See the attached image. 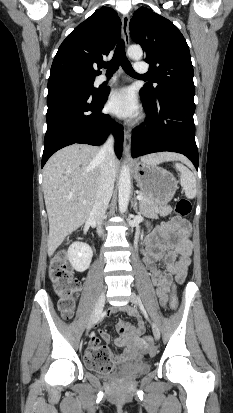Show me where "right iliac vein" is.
<instances>
[{"label": "right iliac vein", "mask_w": 233, "mask_h": 413, "mask_svg": "<svg viewBox=\"0 0 233 413\" xmlns=\"http://www.w3.org/2000/svg\"><path fill=\"white\" fill-rule=\"evenodd\" d=\"M104 304H105V294L102 293L99 296L98 301H97V303L94 307V310H93V312L90 316V319H89V322H88V325H87V331H89L91 329V327L94 325V323L99 319V317L102 313Z\"/></svg>", "instance_id": "63e3f726"}]
</instances>
